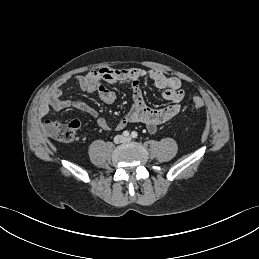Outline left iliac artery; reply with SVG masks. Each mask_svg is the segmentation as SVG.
Returning <instances> with one entry per match:
<instances>
[{"label": "left iliac artery", "mask_w": 259, "mask_h": 259, "mask_svg": "<svg viewBox=\"0 0 259 259\" xmlns=\"http://www.w3.org/2000/svg\"><path fill=\"white\" fill-rule=\"evenodd\" d=\"M137 136H138V133H137L136 131H133V132L131 133V137L137 138Z\"/></svg>", "instance_id": "left-iliac-artery-1"}]
</instances>
